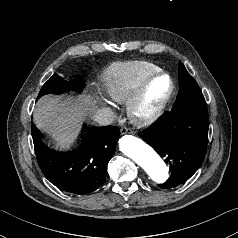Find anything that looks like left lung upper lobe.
<instances>
[{
	"label": "left lung upper lobe",
	"instance_id": "obj_1",
	"mask_svg": "<svg viewBox=\"0 0 238 238\" xmlns=\"http://www.w3.org/2000/svg\"><path fill=\"white\" fill-rule=\"evenodd\" d=\"M179 93L174 104V109L184 107L197 109L207 107L204 96L192 76L187 72L184 65L179 62Z\"/></svg>",
	"mask_w": 238,
	"mask_h": 238
}]
</instances>
